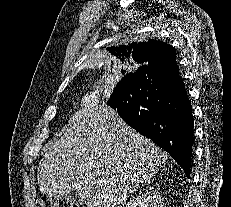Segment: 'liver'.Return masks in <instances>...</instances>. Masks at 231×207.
<instances>
[{
	"label": "liver",
	"instance_id": "obj_1",
	"mask_svg": "<svg viewBox=\"0 0 231 207\" xmlns=\"http://www.w3.org/2000/svg\"><path fill=\"white\" fill-rule=\"evenodd\" d=\"M167 159L106 104L85 107L48 142L38 185L48 197L76 193L87 207H121Z\"/></svg>",
	"mask_w": 231,
	"mask_h": 207
}]
</instances>
